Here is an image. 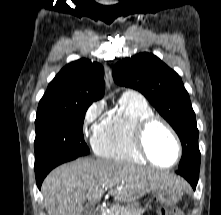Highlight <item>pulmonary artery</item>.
Wrapping results in <instances>:
<instances>
[{
	"mask_svg": "<svg viewBox=\"0 0 221 215\" xmlns=\"http://www.w3.org/2000/svg\"><path fill=\"white\" fill-rule=\"evenodd\" d=\"M126 93H132V94H137V93H135V92H132V91H128V92H126Z\"/></svg>",
	"mask_w": 221,
	"mask_h": 215,
	"instance_id": "pulmonary-artery-1",
	"label": "pulmonary artery"
}]
</instances>
